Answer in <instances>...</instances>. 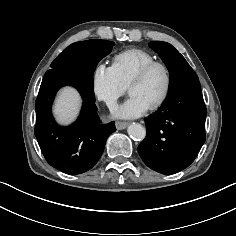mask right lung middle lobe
Returning a JSON list of instances; mask_svg holds the SVG:
<instances>
[{"instance_id":"obj_1","label":"right lung middle lobe","mask_w":236,"mask_h":236,"mask_svg":"<svg viewBox=\"0 0 236 236\" xmlns=\"http://www.w3.org/2000/svg\"><path fill=\"white\" fill-rule=\"evenodd\" d=\"M114 46V42L107 40H86L68 46L50 65L63 71H81L93 76L98 62L107 56ZM47 71V72H48Z\"/></svg>"}]
</instances>
